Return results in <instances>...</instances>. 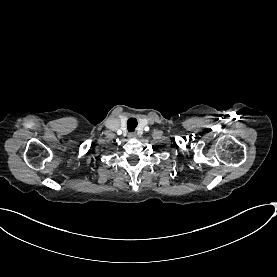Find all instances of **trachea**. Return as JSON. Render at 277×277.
<instances>
[{"mask_svg":"<svg viewBox=\"0 0 277 277\" xmlns=\"http://www.w3.org/2000/svg\"><path fill=\"white\" fill-rule=\"evenodd\" d=\"M138 122L135 118H130L127 121V128L129 132H134Z\"/></svg>","mask_w":277,"mask_h":277,"instance_id":"trachea-1","label":"trachea"}]
</instances>
